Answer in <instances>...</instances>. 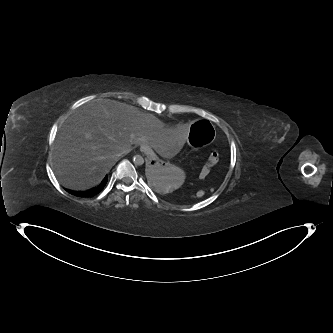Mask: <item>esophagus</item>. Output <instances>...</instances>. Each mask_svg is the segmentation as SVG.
I'll return each mask as SVG.
<instances>
[{"mask_svg":"<svg viewBox=\"0 0 333 333\" xmlns=\"http://www.w3.org/2000/svg\"><path fill=\"white\" fill-rule=\"evenodd\" d=\"M147 149V147L145 145L141 146V151H145Z\"/></svg>","mask_w":333,"mask_h":333,"instance_id":"esophagus-1","label":"esophagus"}]
</instances>
